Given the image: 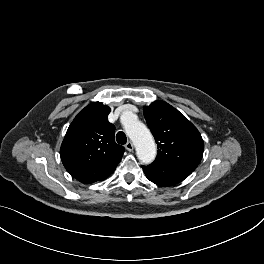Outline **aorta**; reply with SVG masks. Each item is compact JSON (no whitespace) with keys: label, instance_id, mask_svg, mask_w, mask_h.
I'll use <instances>...</instances> for the list:
<instances>
[{"label":"aorta","instance_id":"aorta-1","mask_svg":"<svg viewBox=\"0 0 264 264\" xmlns=\"http://www.w3.org/2000/svg\"><path fill=\"white\" fill-rule=\"evenodd\" d=\"M121 122L135 145L138 159L144 164L151 163L156 157L157 149L149 129L133 113H125Z\"/></svg>","mask_w":264,"mask_h":264}]
</instances>
